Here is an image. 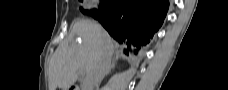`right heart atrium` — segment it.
Masks as SVG:
<instances>
[{"label": "right heart atrium", "mask_w": 228, "mask_h": 90, "mask_svg": "<svg viewBox=\"0 0 228 90\" xmlns=\"http://www.w3.org/2000/svg\"><path fill=\"white\" fill-rule=\"evenodd\" d=\"M91 5H96V2H89Z\"/></svg>", "instance_id": "obj_1"}]
</instances>
